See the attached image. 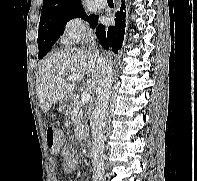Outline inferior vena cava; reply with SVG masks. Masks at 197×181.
Masks as SVG:
<instances>
[{
  "label": "inferior vena cava",
  "instance_id": "602c4592",
  "mask_svg": "<svg viewBox=\"0 0 197 181\" xmlns=\"http://www.w3.org/2000/svg\"><path fill=\"white\" fill-rule=\"evenodd\" d=\"M95 37L92 36L91 40ZM92 43V53L97 59L99 83L96 91V107L92 112L90 125L92 133L93 181H104V135L103 124L112 88V67L109 61L99 55Z\"/></svg>",
  "mask_w": 197,
  "mask_h": 181
}]
</instances>
